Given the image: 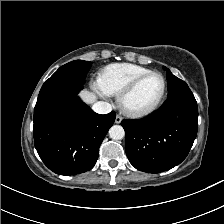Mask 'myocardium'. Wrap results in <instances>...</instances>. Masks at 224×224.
Segmentation results:
<instances>
[{"label": "myocardium", "mask_w": 224, "mask_h": 224, "mask_svg": "<svg viewBox=\"0 0 224 224\" xmlns=\"http://www.w3.org/2000/svg\"><path fill=\"white\" fill-rule=\"evenodd\" d=\"M151 76H159L162 80V91L157 98V100L149 107L143 109H131L128 108L125 104L126 98L138 87V85L143 82L145 79ZM167 91V80L164 75L160 72L151 71L145 74H142L135 79H133L127 86H125L119 93L117 101L121 110L129 116L132 117H141L154 112L162 103L165 94Z\"/></svg>", "instance_id": "obj_1"}]
</instances>
